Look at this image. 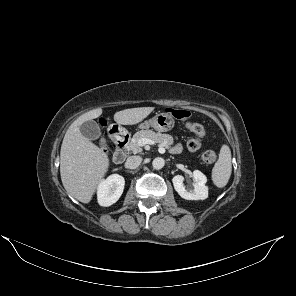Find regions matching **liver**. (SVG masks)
<instances>
[{
	"label": "liver",
	"instance_id": "6515ba94",
	"mask_svg": "<svg viewBox=\"0 0 296 296\" xmlns=\"http://www.w3.org/2000/svg\"><path fill=\"white\" fill-rule=\"evenodd\" d=\"M154 107L125 109L114 114L119 125H134L145 119ZM102 114L101 108L78 117L68 128L60 151V175L64 188L75 199L89 203L109 168V157L80 132V126Z\"/></svg>",
	"mask_w": 296,
	"mask_h": 296
}]
</instances>
